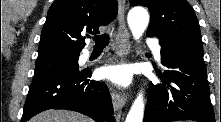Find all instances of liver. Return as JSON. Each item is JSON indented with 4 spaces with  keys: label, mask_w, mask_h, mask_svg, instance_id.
Instances as JSON below:
<instances>
[{
    "label": "liver",
    "mask_w": 221,
    "mask_h": 122,
    "mask_svg": "<svg viewBox=\"0 0 221 122\" xmlns=\"http://www.w3.org/2000/svg\"><path fill=\"white\" fill-rule=\"evenodd\" d=\"M30 122H92L83 114L67 110H47L34 116Z\"/></svg>",
    "instance_id": "obj_1"
}]
</instances>
